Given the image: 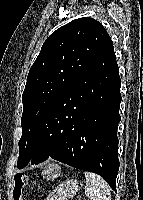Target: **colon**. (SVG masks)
I'll list each match as a JSON object with an SVG mask.
<instances>
[{
  "label": "colon",
  "mask_w": 143,
  "mask_h": 200,
  "mask_svg": "<svg viewBox=\"0 0 143 200\" xmlns=\"http://www.w3.org/2000/svg\"><path fill=\"white\" fill-rule=\"evenodd\" d=\"M27 184V176L24 173H16L14 176L13 193L19 197Z\"/></svg>",
  "instance_id": "1"
}]
</instances>
